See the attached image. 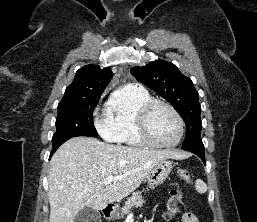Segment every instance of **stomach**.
Segmentation results:
<instances>
[{
	"label": "stomach",
	"mask_w": 257,
	"mask_h": 222,
	"mask_svg": "<svg viewBox=\"0 0 257 222\" xmlns=\"http://www.w3.org/2000/svg\"><path fill=\"white\" fill-rule=\"evenodd\" d=\"M172 170V163L166 159L158 161L153 168L149 171L147 175V181L150 188H155L158 185L162 184L165 179L168 177L169 173ZM111 218L117 219L120 217V214L117 209H114L111 213Z\"/></svg>",
	"instance_id": "1"
}]
</instances>
